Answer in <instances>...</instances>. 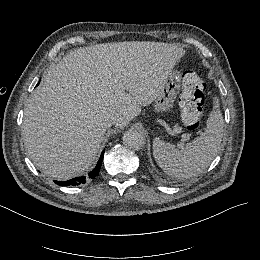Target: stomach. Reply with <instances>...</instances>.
<instances>
[{"instance_id": "0dacf381", "label": "stomach", "mask_w": 260, "mask_h": 260, "mask_svg": "<svg viewBox=\"0 0 260 260\" xmlns=\"http://www.w3.org/2000/svg\"><path fill=\"white\" fill-rule=\"evenodd\" d=\"M180 88L181 76L177 71H173L166 79L160 95L153 104L152 111L159 115H166L172 112Z\"/></svg>"}]
</instances>
